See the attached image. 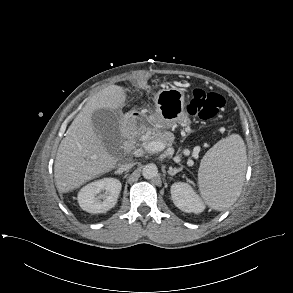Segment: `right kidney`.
Returning <instances> with one entry per match:
<instances>
[{
	"mask_svg": "<svg viewBox=\"0 0 293 293\" xmlns=\"http://www.w3.org/2000/svg\"><path fill=\"white\" fill-rule=\"evenodd\" d=\"M121 187V182L116 178H103L91 182L79 191L78 203L86 212L104 213L117 203Z\"/></svg>",
	"mask_w": 293,
	"mask_h": 293,
	"instance_id": "ca27d5eb",
	"label": "right kidney"
}]
</instances>
